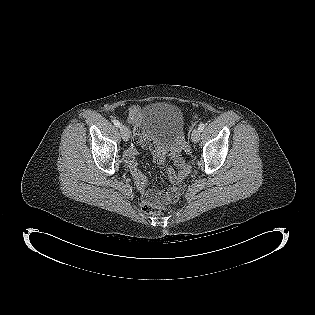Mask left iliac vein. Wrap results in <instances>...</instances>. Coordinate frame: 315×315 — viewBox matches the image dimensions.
I'll list each match as a JSON object with an SVG mask.
<instances>
[{
  "label": "left iliac vein",
  "instance_id": "4c4485c4",
  "mask_svg": "<svg viewBox=\"0 0 315 315\" xmlns=\"http://www.w3.org/2000/svg\"><path fill=\"white\" fill-rule=\"evenodd\" d=\"M201 131L199 129H194L191 134V139L194 143H197L200 140Z\"/></svg>",
  "mask_w": 315,
  "mask_h": 315
}]
</instances>
